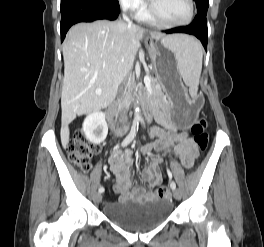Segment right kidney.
Returning a JSON list of instances; mask_svg holds the SVG:
<instances>
[{
	"instance_id": "ca27d5eb",
	"label": "right kidney",
	"mask_w": 264,
	"mask_h": 247,
	"mask_svg": "<svg viewBox=\"0 0 264 247\" xmlns=\"http://www.w3.org/2000/svg\"><path fill=\"white\" fill-rule=\"evenodd\" d=\"M83 132L90 142L96 144L103 142L108 134L105 113L95 111L89 114L83 122Z\"/></svg>"
}]
</instances>
